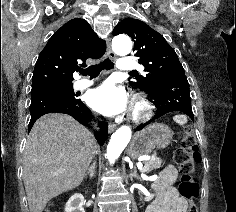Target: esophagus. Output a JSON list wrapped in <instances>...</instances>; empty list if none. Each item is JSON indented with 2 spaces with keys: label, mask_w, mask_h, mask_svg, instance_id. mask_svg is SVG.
Here are the masks:
<instances>
[{
  "label": "esophagus",
  "mask_w": 236,
  "mask_h": 212,
  "mask_svg": "<svg viewBox=\"0 0 236 212\" xmlns=\"http://www.w3.org/2000/svg\"><path fill=\"white\" fill-rule=\"evenodd\" d=\"M107 55L112 59H115V57H116L114 52L111 49L109 39L107 40ZM115 129H116V124H109L108 130H109L110 133L113 132Z\"/></svg>",
  "instance_id": "obj_1"
}]
</instances>
